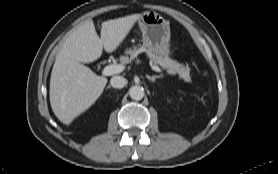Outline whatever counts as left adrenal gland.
I'll use <instances>...</instances> for the list:
<instances>
[{
    "instance_id": "1",
    "label": "left adrenal gland",
    "mask_w": 278,
    "mask_h": 174,
    "mask_svg": "<svg viewBox=\"0 0 278 174\" xmlns=\"http://www.w3.org/2000/svg\"><path fill=\"white\" fill-rule=\"evenodd\" d=\"M161 77H162L161 75H153V76L147 75L148 80L152 81L153 83L155 82L156 79L161 78Z\"/></svg>"
}]
</instances>
